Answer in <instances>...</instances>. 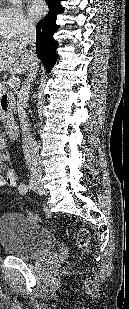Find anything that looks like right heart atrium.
<instances>
[{"instance_id":"d8ad5b80","label":"right heart atrium","mask_w":129,"mask_h":309,"mask_svg":"<svg viewBox=\"0 0 129 309\" xmlns=\"http://www.w3.org/2000/svg\"><path fill=\"white\" fill-rule=\"evenodd\" d=\"M32 21L20 4L0 1V37L13 40L32 32Z\"/></svg>"}]
</instances>
